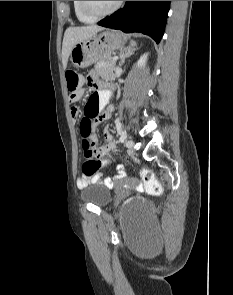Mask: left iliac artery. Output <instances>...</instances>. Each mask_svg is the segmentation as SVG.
<instances>
[{
	"label": "left iliac artery",
	"mask_w": 233,
	"mask_h": 295,
	"mask_svg": "<svg viewBox=\"0 0 233 295\" xmlns=\"http://www.w3.org/2000/svg\"><path fill=\"white\" fill-rule=\"evenodd\" d=\"M131 143H132L131 140H126V145H131Z\"/></svg>",
	"instance_id": "44dca946"
}]
</instances>
